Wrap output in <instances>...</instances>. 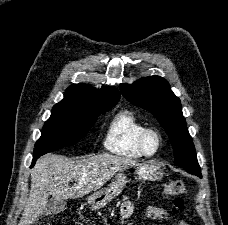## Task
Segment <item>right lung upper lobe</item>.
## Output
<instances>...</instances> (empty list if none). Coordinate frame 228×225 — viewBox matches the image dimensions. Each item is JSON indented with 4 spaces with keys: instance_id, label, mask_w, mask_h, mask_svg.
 <instances>
[{
    "instance_id": "right-lung-upper-lobe-1",
    "label": "right lung upper lobe",
    "mask_w": 228,
    "mask_h": 225,
    "mask_svg": "<svg viewBox=\"0 0 228 225\" xmlns=\"http://www.w3.org/2000/svg\"><path fill=\"white\" fill-rule=\"evenodd\" d=\"M120 98V93L114 88L95 90L86 84H76L70 86L60 103H76L91 106L116 105Z\"/></svg>"
}]
</instances>
